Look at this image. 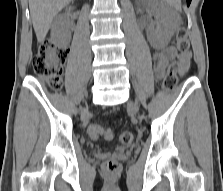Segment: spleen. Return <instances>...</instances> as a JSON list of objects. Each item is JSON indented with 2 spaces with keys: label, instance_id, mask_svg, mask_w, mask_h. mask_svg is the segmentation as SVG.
Listing matches in <instances>:
<instances>
[{
  "label": "spleen",
  "instance_id": "1",
  "mask_svg": "<svg viewBox=\"0 0 223 191\" xmlns=\"http://www.w3.org/2000/svg\"><path fill=\"white\" fill-rule=\"evenodd\" d=\"M177 3H179V0H175ZM178 8H179V6H178Z\"/></svg>",
  "mask_w": 223,
  "mask_h": 191
}]
</instances>
